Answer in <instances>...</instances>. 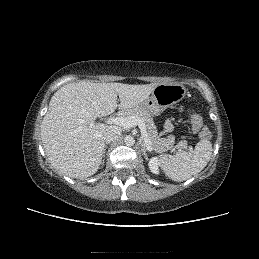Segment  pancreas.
I'll return each mask as SVG.
<instances>
[{"instance_id": "pancreas-1", "label": "pancreas", "mask_w": 259, "mask_h": 259, "mask_svg": "<svg viewBox=\"0 0 259 259\" xmlns=\"http://www.w3.org/2000/svg\"><path fill=\"white\" fill-rule=\"evenodd\" d=\"M137 116L143 120L146 126L147 134L151 142V149L156 152H165L172 148L177 149H187V141L180 140L176 146L175 144V136L169 135L167 138H160L158 136L156 125L154 124L153 118L146 111H142L140 109L134 108L126 110L123 113V117Z\"/></svg>"}]
</instances>
